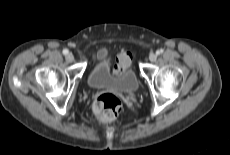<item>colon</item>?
Wrapping results in <instances>:
<instances>
[{"mask_svg": "<svg viewBox=\"0 0 230 155\" xmlns=\"http://www.w3.org/2000/svg\"><path fill=\"white\" fill-rule=\"evenodd\" d=\"M126 60H130V55L126 53ZM122 111L120 100L113 94L106 93L100 95L94 103V112L101 122H110L116 119Z\"/></svg>", "mask_w": 230, "mask_h": 155, "instance_id": "colon-1", "label": "colon"}]
</instances>
